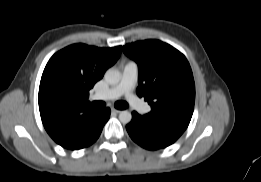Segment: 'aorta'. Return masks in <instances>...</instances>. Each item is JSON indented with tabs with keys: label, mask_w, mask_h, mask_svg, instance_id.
Segmentation results:
<instances>
[{
	"label": "aorta",
	"mask_w": 261,
	"mask_h": 182,
	"mask_svg": "<svg viewBox=\"0 0 261 182\" xmlns=\"http://www.w3.org/2000/svg\"><path fill=\"white\" fill-rule=\"evenodd\" d=\"M104 78L108 84L116 85L121 79V73L119 70L111 68L106 71ZM131 119L132 114L129 111L125 110L120 112L119 120L121 123L127 124L131 121Z\"/></svg>",
	"instance_id": "1"
}]
</instances>
